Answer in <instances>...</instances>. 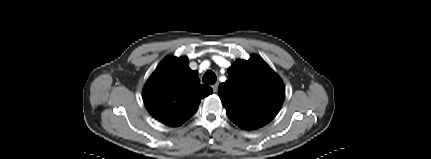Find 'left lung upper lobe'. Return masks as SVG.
<instances>
[{
    "label": "left lung upper lobe",
    "instance_id": "5c2ea615",
    "mask_svg": "<svg viewBox=\"0 0 431 159\" xmlns=\"http://www.w3.org/2000/svg\"><path fill=\"white\" fill-rule=\"evenodd\" d=\"M219 97L231 121L242 129H257L279 112L285 89L279 76L259 56L238 60L220 84Z\"/></svg>",
    "mask_w": 431,
    "mask_h": 159
}]
</instances>
